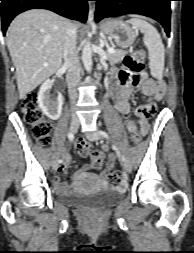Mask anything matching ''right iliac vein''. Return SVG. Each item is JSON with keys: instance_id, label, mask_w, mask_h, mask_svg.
Segmentation results:
<instances>
[{"instance_id": "right-iliac-vein-1", "label": "right iliac vein", "mask_w": 194, "mask_h": 253, "mask_svg": "<svg viewBox=\"0 0 194 253\" xmlns=\"http://www.w3.org/2000/svg\"><path fill=\"white\" fill-rule=\"evenodd\" d=\"M78 128H79V121H78L77 119L71 120V122H70V131H71L72 133H76L77 130H78ZM58 167H59V162H58V160H55V161L53 162V164H52V168H53L54 170H57Z\"/></svg>"}]
</instances>
